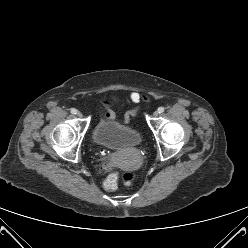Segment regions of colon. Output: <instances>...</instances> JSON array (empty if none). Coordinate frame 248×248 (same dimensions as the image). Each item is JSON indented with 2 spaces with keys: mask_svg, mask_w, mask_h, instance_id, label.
Returning <instances> with one entry per match:
<instances>
[{
  "mask_svg": "<svg viewBox=\"0 0 248 248\" xmlns=\"http://www.w3.org/2000/svg\"><path fill=\"white\" fill-rule=\"evenodd\" d=\"M109 161H106V164L109 165ZM136 175L133 172H126L123 175V182L125 185L130 186L135 181ZM105 190L114 191L118 187V176L115 173H112L108 176L103 184Z\"/></svg>",
  "mask_w": 248,
  "mask_h": 248,
  "instance_id": "obj_1",
  "label": "colon"
}]
</instances>
